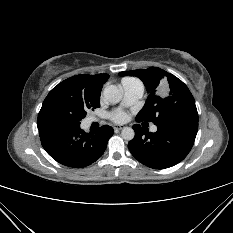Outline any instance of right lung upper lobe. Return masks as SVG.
I'll return each mask as SVG.
<instances>
[{"label": "right lung upper lobe", "mask_w": 233, "mask_h": 233, "mask_svg": "<svg viewBox=\"0 0 233 233\" xmlns=\"http://www.w3.org/2000/svg\"><path fill=\"white\" fill-rule=\"evenodd\" d=\"M108 78H109L108 74H97V75L81 74V75L73 76L70 79L78 83L79 85L84 86L85 88L101 93L103 84L107 81Z\"/></svg>", "instance_id": "right-lung-upper-lobe-1"}]
</instances>
